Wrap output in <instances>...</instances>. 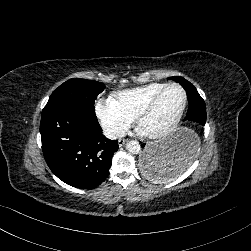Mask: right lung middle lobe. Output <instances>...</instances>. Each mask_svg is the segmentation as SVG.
Masks as SVG:
<instances>
[{"instance_id": "1", "label": "right lung middle lobe", "mask_w": 251, "mask_h": 251, "mask_svg": "<svg viewBox=\"0 0 251 251\" xmlns=\"http://www.w3.org/2000/svg\"><path fill=\"white\" fill-rule=\"evenodd\" d=\"M104 89L97 81L70 79L51 94L45 107L74 105L94 110L95 99Z\"/></svg>"}]
</instances>
